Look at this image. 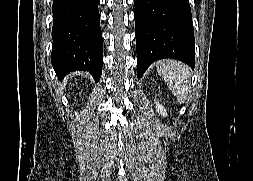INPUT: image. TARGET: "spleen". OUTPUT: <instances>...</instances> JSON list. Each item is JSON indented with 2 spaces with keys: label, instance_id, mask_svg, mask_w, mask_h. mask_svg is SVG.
<instances>
[{
  "label": "spleen",
  "instance_id": "1",
  "mask_svg": "<svg viewBox=\"0 0 253 181\" xmlns=\"http://www.w3.org/2000/svg\"><path fill=\"white\" fill-rule=\"evenodd\" d=\"M157 72L178 102L183 103L190 89L189 67L178 61L163 60L157 63Z\"/></svg>",
  "mask_w": 253,
  "mask_h": 181
}]
</instances>
